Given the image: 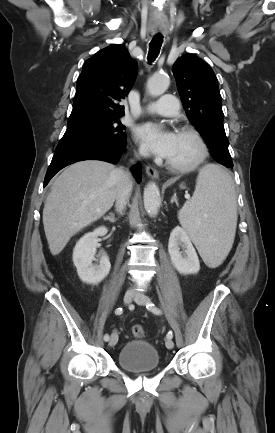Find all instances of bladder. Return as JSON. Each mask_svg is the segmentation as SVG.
I'll return each instance as SVG.
<instances>
[{"mask_svg":"<svg viewBox=\"0 0 275 433\" xmlns=\"http://www.w3.org/2000/svg\"><path fill=\"white\" fill-rule=\"evenodd\" d=\"M119 366L133 374H141L160 368V359L154 345L143 340L127 341L117 356Z\"/></svg>","mask_w":275,"mask_h":433,"instance_id":"bladder-1","label":"bladder"}]
</instances>
